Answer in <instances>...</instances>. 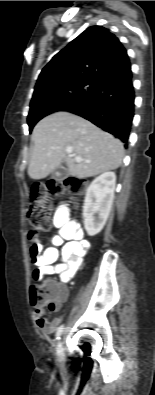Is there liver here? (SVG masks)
I'll return each mask as SVG.
<instances>
[{
    "label": "liver",
    "instance_id": "obj_1",
    "mask_svg": "<svg viewBox=\"0 0 155 395\" xmlns=\"http://www.w3.org/2000/svg\"><path fill=\"white\" fill-rule=\"evenodd\" d=\"M32 140L34 148L28 175L37 180L47 177L62 161L72 176H96L117 169L124 156L120 140L68 112H56L39 121L33 129ZM67 150H71V154ZM76 156L83 161L76 162Z\"/></svg>",
    "mask_w": 155,
    "mask_h": 395
}]
</instances>
